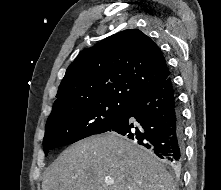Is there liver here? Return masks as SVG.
I'll return each instance as SVG.
<instances>
[{
	"label": "liver",
	"mask_w": 221,
	"mask_h": 190,
	"mask_svg": "<svg viewBox=\"0 0 221 190\" xmlns=\"http://www.w3.org/2000/svg\"><path fill=\"white\" fill-rule=\"evenodd\" d=\"M109 178L113 184L106 183ZM42 190H175V185L155 157L109 133L65 149L46 170Z\"/></svg>",
	"instance_id": "liver-1"
}]
</instances>
